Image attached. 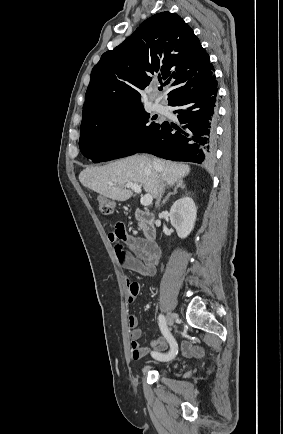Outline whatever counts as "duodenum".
Here are the masks:
<instances>
[{
	"label": "duodenum",
	"instance_id": "duodenum-1",
	"mask_svg": "<svg viewBox=\"0 0 283 434\" xmlns=\"http://www.w3.org/2000/svg\"><path fill=\"white\" fill-rule=\"evenodd\" d=\"M135 218L142 226L144 239L147 242V244L150 245L151 247L160 250L155 243L157 232H156V222H155L154 215L148 211H144L137 208L135 209ZM124 233H126L125 230Z\"/></svg>",
	"mask_w": 283,
	"mask_h": 434
}]
</instances>
